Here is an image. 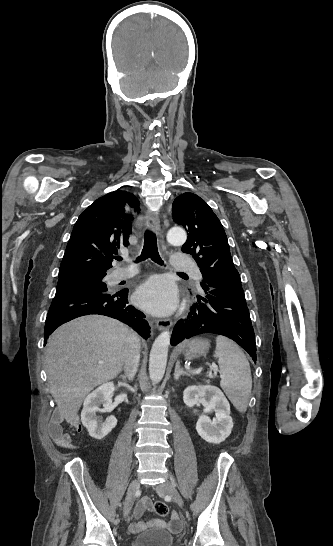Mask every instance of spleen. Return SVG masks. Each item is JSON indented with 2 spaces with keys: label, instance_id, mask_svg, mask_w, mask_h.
<instances>
[{
  "label": "spleen",
  "instance_id": "spleen-1",
  "mask_svg": "<svg viewBox=\"0 0 333 546\" xmlns=\"http://www.w3.org/2000/svg\"><path fill=\"white\" fill-rule=\"evenodd\" d=\"M214 356L221 372L220 385L239 412H246L252 389L249 362L240 347L224 336L216 337Z\"/></svg>",
  "mask_w": 333,
  "mask_h": 546
}]
</instances>
